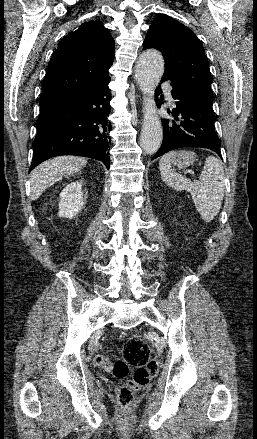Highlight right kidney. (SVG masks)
Segmentation results:
<instances>
[{
  "mask_svg": "<svg viewBox=\"0 0 257 439\" xmlns=\"http://www.w3.org/2000/svg\"><path fill=\"white\" fill-rule=\"evenodd\" d=\"M83 206L82 182L69 183L60 193L59 217L72 219Z\"/></svg>",
  "mask_w": 257,
  "mask_h": 439,
  "instance_id": "right-kidney-1",
  "label": "right kidney"
}]
</instances>
